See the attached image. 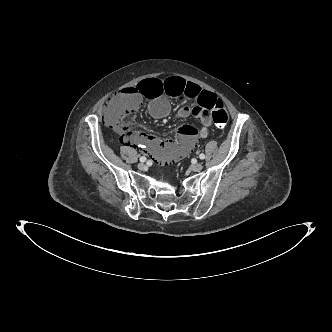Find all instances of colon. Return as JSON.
<instances>
[{
    "label": "colon",
    "instance_id": "colon-1",
    "mask_svg": "<svg viewBox=\"0 0 332 332\" xmlns=\"http://www.w3.org/2000/svg\"><path fill=\"white\" fill-rule=\"evenodd\" d=\"M141 103L136 88H127L113 96L104 110L105 121L113 128L119 130L121 137L125 134L122 126L123 119L135 112ZM213 122L219 128H224L229 120L227 109L220 99H215L210 108Z\"/></svg>",
    "mask_w": 332,
    "mask_h": 332
}]
</instances>
